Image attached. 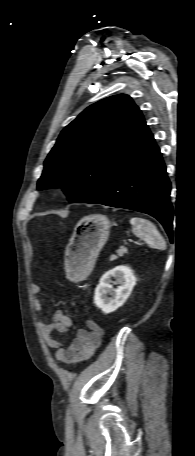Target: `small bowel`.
<instances>
[{
	"label": "small bowel",
	"mask_w": 195,
	"mask_h": 456,
	"mask_svg": "<svg viewBox=\"0 0 195 456\" xmlns=\"http://www.w3.org/2000/svg\"><path fill=\"white\" fill-rule=\"evenodd\" d=\"M32 304L36 311L43 309L39 296L42 292L41 286L34 284L30 289ZM72 320L61 310L52 314L50 322H41L40 330L47 346L56 349L55 358L58 362L65 364H77L88 360L97 350L102 341V329L94 320L86 322V329H79L69 346L52 337L53 332L65 333L70 330Z\"/></svg>",
	"instance_id": "small-bowel-1"
}]
</instances>
